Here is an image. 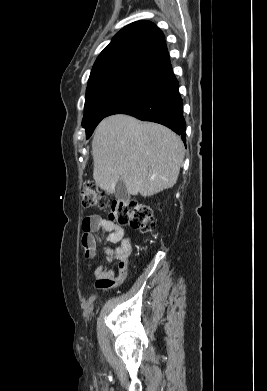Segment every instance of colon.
Returning <instances> with one entry per match:
<instances>
[{
  "label": "colon",
  "mask_w": 267,
  "mask_h": 391,
  "mask_svg": "<svg viewBox=\"0 0 267 391\" xmlns=\"http://www.w3.org/2000/svg\"><path fill=\"white\" fill-rule=\"evenodd\" d=\"M84 209H105L111 221L118 225H129L133 229L147 232L155 224L151 209L136 199L106 200L105 192L89 182L81 191Z\"/></svg>",
  "instance_id": "1"
}]
</instances>
